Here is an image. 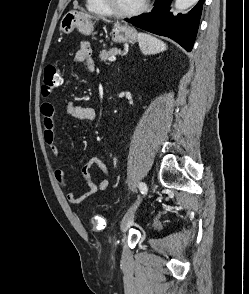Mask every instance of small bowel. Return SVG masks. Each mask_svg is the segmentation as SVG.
I'll use <instances>...</instances> for the list:
<instances>
[{
  "mask_svg": "<svg viewBox=\"0 0 249 294\" xmlns=\"http://www.w3.org/2000/svg\"><path fill=\"white\" fill-rule=\"evenodd\" d=\"M73 62L84 63L88 71L95 70V64L92 58V49L89 42L82 41L79 43L73 57ZM41 114L43 116L45 142L48 145L53 157L58 160L60 150L55 137V121L60 117V115L54 105L50 102H44L41 105ZM62 116L92 122L96 118V111L92 107L79 106L73 102H66ZM94 167L98 168L104 176L98 183H95L92 180L91 169ZM81 175L88 189L83 194H78L68 186L65 172L62 169L58 168L54 171L56 181L64 190H66V198L73 204H81L90 196L98 192L105 191L110 185L108 166L98 157L90 158L82 166Z\"/></svg>",
  "mask_w": 249,
  "mask_h": 294,
  "instance_id": "c3829d8e",
  "label": "small bowel"
}]
</instances>
